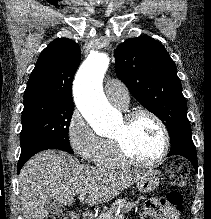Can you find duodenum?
Masks as SVG:
<instances>
[{
	"instance_id": "duodenum-1",
	"label": "duodenum",
	"mask_w": 211,
	"mask_h": 219,
	"mask_svg": "<svg viewBox=\"0 0 211 219\" xmlns=\"http://www.w3.org/2000/svg\"><path fill=\"white\" fill-rule=\"evenodd\" d=\"M79 213V219H93V214L89 211L87 212H80V211H75Z\"/></svg>"
}]
</instances>
